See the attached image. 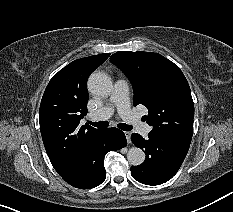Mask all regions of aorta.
Returning a JSON list of instances; mask_svg holds the SVG:
<instances>
[{"instance_id":"1","label":"aorta","mask_w":233,"mask_h":212,"mask_svg":"<svg viewBox=\"0 0 233 212\" xmlns=\"http://www.w3.org/2000/svg\"><path fill=\"white\" fill-rule=\"evenodd\" d=\"M112 88L110 78L104 73L95 72L88 79V89L94 95L107 97L111 94ZM127 160L133 166L141 165L145 160V153L138 147H132L127 152Z\"/></svg>"}]
</instances>
